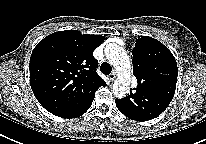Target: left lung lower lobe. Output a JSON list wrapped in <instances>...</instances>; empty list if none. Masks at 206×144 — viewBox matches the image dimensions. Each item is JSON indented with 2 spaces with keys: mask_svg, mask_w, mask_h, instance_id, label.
<instances>
[{
  "mask_svg": "<svg viewBox=\"0 0 206 144\" xmlns=\"http://www.w3.org/2000/svg\"><path fill=\"white\" fill-rule=\"evenodd\" d=\"M117 108L130 119L137 121H147L159 116L166 108L162 107L160 100H142L141 110L138 114L132 115L127 107V101L124 99H116Z\"/></svg>",
  "mask_w": 206,
  "mask_h": 144,
  "instance_id": "obj_1",
  "label": "left lung lower lobe"
}]
</instances>
